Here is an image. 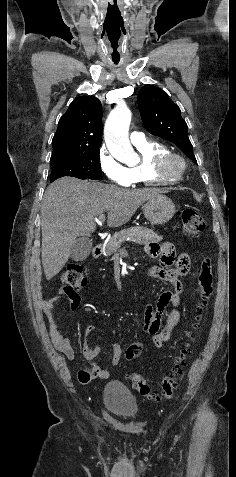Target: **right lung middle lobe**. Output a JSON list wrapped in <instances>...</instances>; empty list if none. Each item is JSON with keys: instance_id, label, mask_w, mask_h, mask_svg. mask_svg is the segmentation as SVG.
I'll return each mask as SVG.
<instances>
[{"instance_id": "obj_1", "label": "right lung middle lobe", "mask_w": 236, "mask_h": 477, "mask_svg": "<svg viewBox=\"0 0 236 477\" xmlns=\"http://www.w3.org/2000/svg\"><path fill=\"white\" fill-rule=\"evenodd\" d=\"M99 153V149H93L51 161L50 182L64 176L102 180Z\"/></svg>"}]
</instances>
